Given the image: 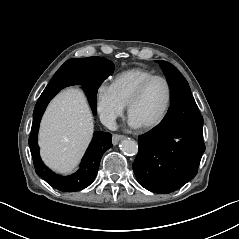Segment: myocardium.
<instances>
[{"label":"myocardium","instance_id":"obj_1","mask_svg":"<svg viewBox=\"0 0 239 239\" xmlns=\"http://www.w3.org/2000/svg\"><path fill=\"white\" fill-rule=\"evenodd\" d=\"M156 80H162L166 84V87H167V102H166L163 113L160 115V117L158 119H156L155 121H153L151 123L141 125V128L143 130H146V131L159 127L166 120V118L168 117V115L170 113V110H171V107H172V101H173V90H172V86H171L170 81L166 77L160 76V75H154V76L146 79L136 89V91L133 93V95L131 96V98H130L128 104H127V112L131 116V113H132V110H133L134 106L141 99V97L143 96L144 92L149 87V85Z\"/></svg>","mask_w":239,"mask_h":239}]
</instances>
